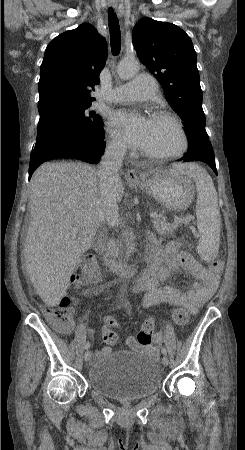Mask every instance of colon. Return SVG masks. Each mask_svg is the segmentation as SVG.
<instances>
[{"instance_id": "obj_1", "label": "colon", "mask_w": 245, "mask_h": 450, "mask_svg": "<svg viewBox=\"0 0 245 450\" xmlns=\"http://www.w3.org/2000/svg\"><path fill=\"white\" fill-rule=\"evenodd\" d=\"M221 267L220 261H214L211 264V269L216 271ZM100 268L97 265L95 258L88 254L77 268L73 275V283H78L82 279L88 282H94L99 278ZM46 317L56 329L62 332H68L72 328V318L70 312V299L67 296L61 297L56 307L46 309ZM173 320L181 326L188 323L190 313L184 306H177L172 311ZM117 323V319L108 315L105 317V329L103 331V340L106 344L114 345L118 342L119 337L113 330V326ZM155 332V325L152 320H147L137 334V342L139 344L147 345L151 343Z\"/></svg>"}]
</instances>
